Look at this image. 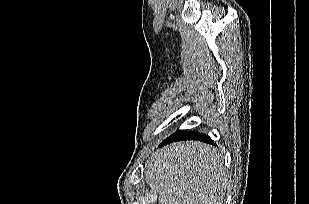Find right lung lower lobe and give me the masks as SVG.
I'll use <instances>...</instances> for the list:
<instances>
[{
	"label": "right lung lower lobe",
	"instance_id": "98d812e1",
	"mask_svg": "<svg viewBox=\"0 0 309 204\" xmlns=\"http://www.w3.org/2000/svg\"><path fill=\"white\" fill-rule=\"evenodd\" d=\"M181 140H200L205 143H211V138L207 135L198 133V132H177L166 138L162 143L159 145L160 147Z\"/></svg>",
	"mask_w": 309,
	"mask_h": 204
}]
</instances>
